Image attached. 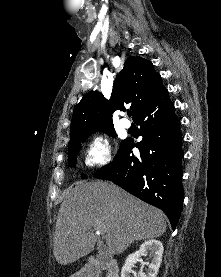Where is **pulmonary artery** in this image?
<instances>
[{
	"instance_id": "e3ab8cb5",
	"label": "pulmonary artery",
	"mask_w": 221,
	"mask_h": 277,
	"mask_svg": "<svg viewBox=\"0 0 221 277\" xmlns=\"http://www.w3.org/2000/svg\"><path fill=\"white\" fill-rule=\"evenodd\" d=\"M120 124H121V126H122L123 128H126V129L130 128V126H131L130 121L127 120L126 118H122V119L120 120Z\"/></svg>"
}]
</instances>
